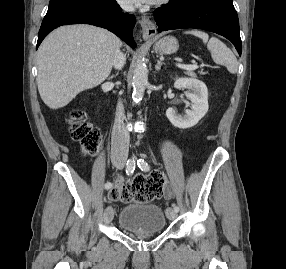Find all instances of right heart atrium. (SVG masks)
Instances as JSON below:
<instances>
[{"mask_svg":"<svg viewBox=\"0 0 286 269\" xmlns=\"http://www.w3.org/2000/svg\"><path fill=\"white\" fill-rule=\"evenodd\" d=\"M118 3L120 4V6L126 10V11H130L131 7L124 1V0H118Z\"/></svg>","mask_w":286,"mask_h":269,"instance_id":"obj_1","label":"right heart atrium"}]
</instances>
